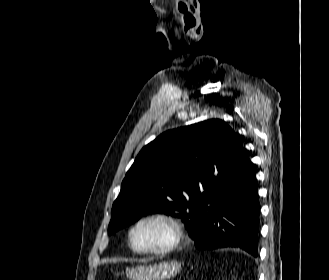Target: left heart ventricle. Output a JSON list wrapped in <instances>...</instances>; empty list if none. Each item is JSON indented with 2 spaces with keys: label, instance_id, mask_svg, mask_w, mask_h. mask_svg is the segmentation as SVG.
<instances>
[{
  "label": "left heart ventricle",
  "instance_id": "1",
  "mask_svg": "<svg viewBox=\"0 0 329 280\" xmlns=\"http://www.w3.org/2000/svg\"><path fill=\"white\" fill-rule=\"evenodd\" d=\"M171 230L160 221H149L141 224L133 233V244L138 249H156L168 244Z\"/></svg>",
  "mask_w": 329,
  "mask_h": 280
}]
</instances>
